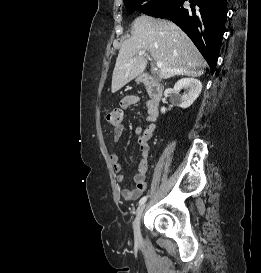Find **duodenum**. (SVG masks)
<instances>
[{
    "mask_svg": "<svg viewBox=\"0 0 261 273\" xmlns=\"http://www.w3.org/2000/svg\"><path fill=\"white\" fill-rule=\"evenodd\" d=\"M141 82L151 95V107L157 108L163 96V86L150 75H144Z\"/></svg>",
    "mask_w": 261,
    "mask_h": 273,
    "instance_id": "duodenum-1",
    "label": "duodenum"
}]
</instances>
